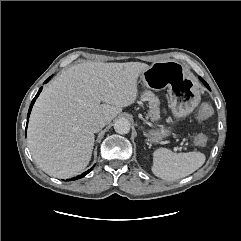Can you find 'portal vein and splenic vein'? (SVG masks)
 <instances>
[{"mask_svg": "<svg viewBox=\"0 0 241 241\" xmlns=\"http://www.w3.org/2000/svg\"><path fill=\"white\" fill-rule=\"evenodd\" d=\"M177 150H182V147H175L174 151H177Z\"/></svg>", "mask_w": 241, "mask_h": 241, "instance_id": "portal-vein-and-splenic-vein-1", "label": "portal vein and splenic vein"}]
</instances>
